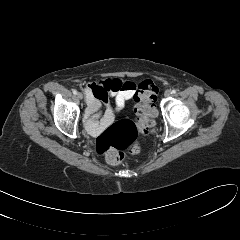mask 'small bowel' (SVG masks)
I'll list each match as a JSON object with an SVG mask.
<instances>
[{
	"instance_id": "small-bowel-1",
	"label": "small bowel",
	"mask_w": 240,
	"mask_h": 240,
	"mask_svg": "<svg viewBox=\"0 0 240 240\" xmlns=\"http://www.w3.org/2000/svg\"><path fill=\"white\" fill-rule=\"evenodd\" d=\"M136 85L120 79L92 81L85 87L87 109L84 123L90 134L96 135L107 127L114 118L115 109L110 106L109 97H115L116 109L124 107L127 100L135 95ZM104 106V112L100 113Z\"/></svg>"
}]
</instances>
